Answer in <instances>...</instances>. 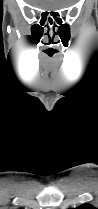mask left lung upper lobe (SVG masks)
<instances>
[{"instance_id": "left-lung-upper-lobe-1", "label": "left lung upper lobe", "mask_w": 98, "mask_h": 209, "mask_svg": "<svg viewBox=\"0 0 98 209\" xmlns=\"http://www.w3.org/2000/svg\"><path fill=\"white\" fill-rule=\"evenodd\" d=\"M70 209H96L95 207H93L92 205L90 204H85V205H81L77 208H70Z\"/></svg>"}]
</instances>
